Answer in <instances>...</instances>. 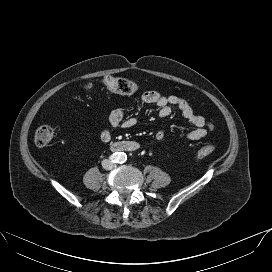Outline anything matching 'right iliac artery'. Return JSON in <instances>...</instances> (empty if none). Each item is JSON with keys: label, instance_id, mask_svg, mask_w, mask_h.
I'll use <instances>...</instances> for the list:
<instances>
[{"label": "right iliac artery", "instance_id": "1", "mask_svg": "<svg viewBox=\"0 0 272 272\" xmlns=\"http://www.w3.org/2000/svg\"><path fill=\"white\" fill-rule=\"evenodd\" d=\"M113 163L119 162V157L116 156L115 154L111 155L109 158Z\"/></svg>", "mask_w": 272, "mask_h": 272}]
</instances>
